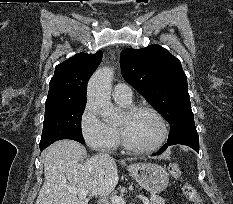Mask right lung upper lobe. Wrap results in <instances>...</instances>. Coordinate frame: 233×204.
Here are the masks:
<instances>
[{
  "mask_svg": "<svg viewBox=\"0 0 233 204\" xmlns=\"http://www.w3.org/2000/svg\"><path fill=\"white\" fill-rule=\"evenodd\" d=\"M102 60V51L79 53L55 68L45 104L86 100V84Z\"/></svg>",
  "mask_w": 233,
  "mask_h": 204,
  "instance_id": "1",
  "label": "right lung upper lobe"
}]
</instances>
